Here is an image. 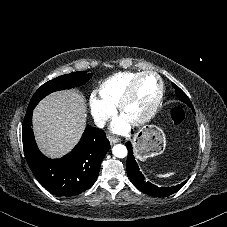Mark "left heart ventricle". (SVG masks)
<instances>
[{"label": "left heart ventricle", "mask_w": 227, "mask_h": 227, "mask_svg": "<svg viewBox=\"0 0 227 227\" xmlns=\"http://www.w3.org/2000/svg\"><path fill=\"white\" fill-rule=\"evenodd\" d=\"M158 91V82L153 76H145L139 82L132 102L127 106L124 117L127 121L143 115L153 102Z\"/></svg>", "instance_id": "obj_1"}]
</instances>
